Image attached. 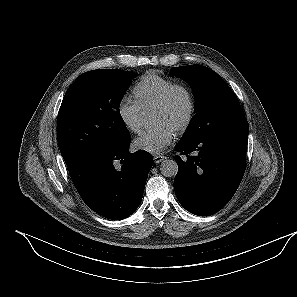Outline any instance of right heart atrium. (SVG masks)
<instances>
[{"label":"right heart atrium","instance_id":"d8ad5b80","mask_svg":"<svg viewBox=\"0 0 297 297\" xmlns=\"http://www.w3.org/2000/svg\"><path fill=\"white\" fill-rule=\"evenodd\" d=\"M116 111L126 129L131 132L140 130L143 111L135 100L128 96H122L117 102Z\"/></svg>","mask_w":297,"mask_h":297}]
</instances>
